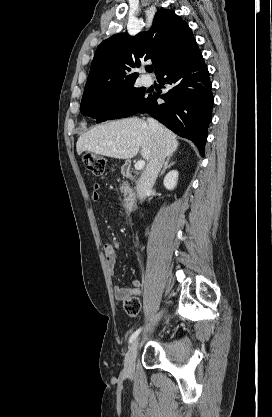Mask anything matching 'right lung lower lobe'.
<instances>
[{
    "label": "right lung lower lobe",
    "mask_w": 272,
    "mask_h": 417,
    "mask_svg": "<svg viewBox=\"0 0 272 417\" xmlns=\"http://www.w3.org/2000/svg\"><path fill=\"white\" fill-rule=\"evenodd\" d=\"M157 79L171 85V89L161 96L149 94L148 101L138 112L148 113L176 134L192 140L204 156L214 98L209 72L196 41L162 69Z\"/></svg>",
    "instance_id": "obj_1"
}]
</instances>
